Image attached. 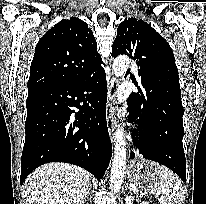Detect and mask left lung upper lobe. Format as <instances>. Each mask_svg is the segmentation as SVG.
Segmentation results:
<instances>
[{
  "label": "left lung upper lobe",
  "mask_w": 206,
  "mask_h": 204,
  "mask_svg": "<svg viewBox=\"0 0 206 204\" xmlns=\"http://www.w3.org/2000/svg\"><path fill=\"white\" fill-rule=\"evenodd\" d=\"M127 54L136 61L139 72L145 73L144 90L149 108L161 103L162 92L168 88L181 98L178 69L174 54L166 40L149 24L136 18L125 19L117 29L112 56ZM170 99V98H167Z\"/></svg>",
  "instance_id": "5c2ea615"
}]
</instances>
